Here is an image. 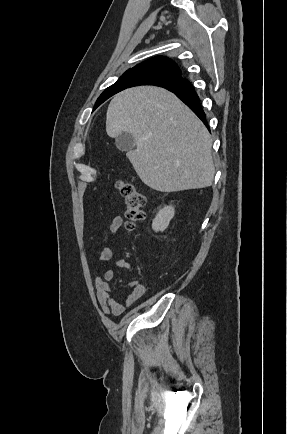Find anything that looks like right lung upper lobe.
Returning a JSON list of instances; mask_svg holds the SVG:
<instances>
[{"instance_id":"obj_1","label":"right lung upper lobe","mask_w":287,"mask_h":434,"mask_svg":"<svg viewBox=\"0 0 287 434\" xmlns=\"http://www.w3.org/2000/svg\"><path fill=\"white\" fill-rule=\"evenodd\" d=\"M137 68L160 69L172 73L176 76V78L173 80L153 84L161 87L183 79L181 77V71L179 67L172 60L164 56L153 57L145 62L140 63L139 65L133 67L132 69H137Z\"/></svg>"}]
</instances>
